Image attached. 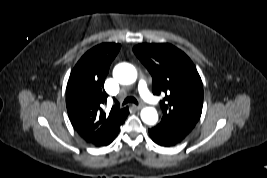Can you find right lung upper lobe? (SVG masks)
<instances>
[{"label": "right lung upper lobe", "instance_id": "cb5924a9", "mask_svg": "<svg viewBox=\"0 0 267 178\" xmlns=\"http://www.w3.org/2000/svg\"><path fill=\"white\" fill-rule=\"evenodd\" d=\"M120 47L115 43L93 47L81 57L70 74L66 90L68 116L75 130L87 142L102 139L127 115L128 109L117 105L108 113L101 108L108 97L104 90L105 78Z\"/></svg>", "mask_w": 267, "mask_h": 178}]
</instances>
